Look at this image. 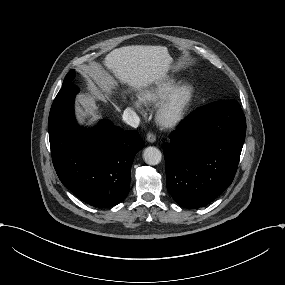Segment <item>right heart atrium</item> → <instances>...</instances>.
I'll use <instances>...</instances> for the list:
<instances>
[{
  "mask_svg": "<svg viewBox=\"0 0 285 285\" xmlns=\"http://www.w3.org/2000/svg\"><path fill=\"white\" fill-rule=\"evenodd\" d=\"M129 103H130L132 106H134L136 109H138V110H140V111L142 110V103H141L140 100L131 97V98L129 99Z\"/></svg>",
  "mask_w": 285,
  "mask_h": 285,
  "instance_id": "1",
  "label": "right heart atrium"
}]
</instances>
